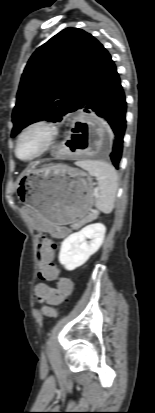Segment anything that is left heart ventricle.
I'll return each instance as SVG.
<instances>
[{
    "mask_svg": "<svg viewBox=\"0 0 155 413\" xmlns=\"http://www.w3.org/2000/svg\"><path fill=\"white\" fill-rule=\"evenodd\" d=\"M47 131L43 128H33L28 131L21 139L18 153L22 158H30L38 153L47 140Z\"/></svg>",
    "mask_w": 155,
    "mask_h": 413,
    "instance_id": "b2bd125f",
    "label": "left heart ventricle"
}]
</instances>
